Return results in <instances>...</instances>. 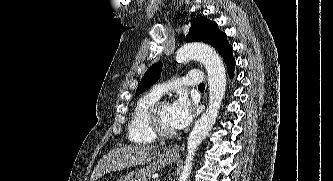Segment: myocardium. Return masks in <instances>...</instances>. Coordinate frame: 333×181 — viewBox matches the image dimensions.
Masks as SVG:
<instances>
[{"mask_svg": "<svg viewBox=\"0 0 333 181\" xmlns=\"http://www.w3.org/2000/svg\"><path fill=\"white\" fill-rule=\"evenodd\" d=\"M170 104L168 99H159L147 114V123L150 131L158 138H171L176 135L175 130H167L160 121V114L164 106Z\"/></svg>", "mask_w": 333, "mask_h": 181, "instance_id": "f54148a6", "label": "myocardium"}]
</instances>
